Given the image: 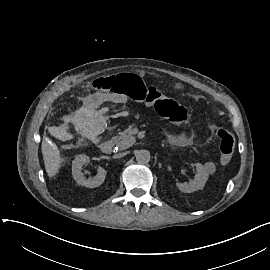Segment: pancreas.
<instances>
[{"instance_id":"cf45deb5","label":"pancreas","mask_w":270,"mask_h":270,"mask_svg":"<svg viewBox=\"0 0 270 270\" xmlns=\"http://www.w3.org/2000/svg\"><path fill=\"white\" fill-rule=\"evenodd\" d=\"M131 130V128H128L121 133L120 137H117V144L122 150L129 148L133 144L134 137L132 136Z\"/></svg>"}]
</instances>
